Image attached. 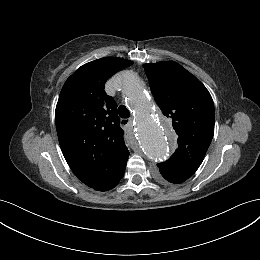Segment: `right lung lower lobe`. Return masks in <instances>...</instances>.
I'll return each mask as SVG.
<instances>
[{"label": "right lung lower lobe", "mask_w": 260, "mask_h": 260, "mask_svg": "<svg viewBox=\"0 0 260 260\" xmlns=\"http://www.w3.org/2000/svg\"><path fill=\"white\" fill-rule=\"evenodd\" d=\"M123 175H124V173L116 181L109 183V184H106V185H103V186H100L98 188H95V190L107 191V190L114 188L119 183V181L123 177Z\"/></svg>", "instance_id": "1"}]
</instances>
